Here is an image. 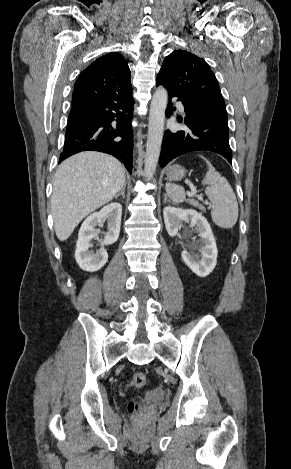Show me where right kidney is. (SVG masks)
I'll return each instance as SVG.
<instances>
[{
    "label": "right kidney",
    "mask_w": 291,
    "mask_h": 469,
    "mask_svg": "<svg viewBox=\"0 0 291 469\" xmlns=\"http://www.w3.org/2000/svg\"><path fill=\"white\" fill-rule=\"evenodd\" d=\"M121 216L122 206L119 203H111L85 219L78 233L75 250L76 262L82 270L95 272L105 265L108 254L104 245H111L118 240ZM105 220L108 223V232L101 243V248L96 252L91 251L89 250L93 246L91 241L97 236L96 227Z\"/></svg>",
    "instance_id": "ca27d5eb"
}]
</instances>
